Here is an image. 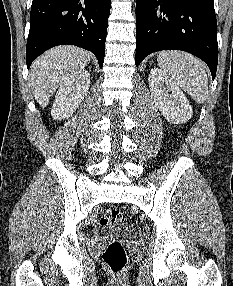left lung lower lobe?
<instances>
[{
  "mask_svg": "<svg viewBox=\"0 0 233 286\" xmlns=\"http://www.w3.org/2000/svg\"><path fill=\"white\" fill-rule=\"evenodd\" d=\"M167 49L199 57L215 78L218 43L213 0H137L136 66L150 53Z\"/></svg>",
  "mask_w": 233,
  "mask_h": 286,
  "instance_id": "0a47b994",
  "label": "left lung lower lobe"
}]
</instances>
